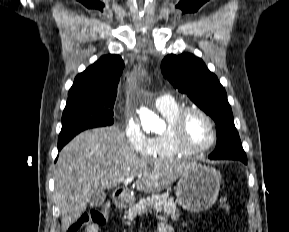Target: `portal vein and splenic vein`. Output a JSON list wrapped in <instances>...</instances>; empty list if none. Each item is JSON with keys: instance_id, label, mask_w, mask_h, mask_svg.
<instances>
[{"instance_id": "portal-vein-and-splenic-vein-1", "label": "portal vein and splenic vein", "mask_w": 289, "mask_h": 232, "mask_svg": "<svg viewBox=\"0 0 289 232\" xmlns=\"http://www.w3.org/2000/svg\"><path fill=\"white\" fill-rule=\"evenodd\" d=\"M133 180H134V176H131V177L125 179V180L123 181V183H124L125 185H127V184L131 183Z\"/></svg>"}]
</instances>
